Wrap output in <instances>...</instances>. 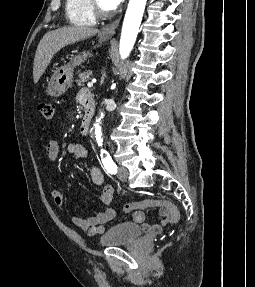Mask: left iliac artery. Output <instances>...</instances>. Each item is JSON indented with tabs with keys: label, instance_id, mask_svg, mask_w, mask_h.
<instances>
[{
	"label": "left iliac artery",
	"instance_id": "obj_1",
	"mask_svg": "<svg viewBox=\"0 0 255 287\" xmlns=\"http://www.w3.org/2000/svg\"><path fill=\"white\" fill-rule=\"evenodd\" d=\"M101 158L106 171L110 174H116L117 165L114 163V161L112 160L111 156L108 154L107 151L105 150L101 151Z\"/></svg>",
	"mask_w": 255,
	"mask_h": 287
}]
</instances>
